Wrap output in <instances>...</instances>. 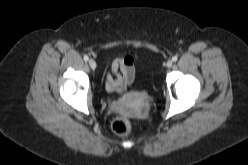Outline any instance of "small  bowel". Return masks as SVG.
I'll list each match as a JSON object with an SVG mask.
<instances>
[{"mask_svg": "<svg viewBox=\"0 0 248 165\" xmlns=\"http://www.w3.org/2000/svg\"><path fill=\"white\" fill-rule=\"evenodd\" d=\"M135 79L134 59L130 55L118 57L112 62V73L107 76L106 88L110 92H122Z\"/></svg>", "mask_w": 248, "mask_h": 165, "instance_id": "small-bowel-1", "label": "small bowel"}]
</instances>
